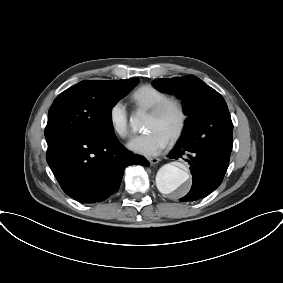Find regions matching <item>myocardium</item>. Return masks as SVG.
<instances>
[{"label": "myocardium", "mask_w": 283, "mask_h": 283, "mask_svg": "<svg viewBox=\"0 0 283 283\" xmlns=\"http://www.w3.org/2000/svg\"><path fill=\"white\" fill-rule=\"evenodd\" d=\"M171 107L176 108L179 113V122L177 128L168 138V140L172 142L177 140L183 134L189 119L187 108L183 100L176 96H168L152 107L148 114L151 116H160Z\"/></svg>", "instance_id": "f54148a6"}]
</instances>
